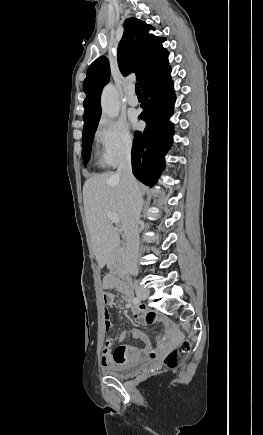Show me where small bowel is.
<instances>
[{
    "label": "small bowel",
    "mask_w": 263,
    "mask_h": 435,
    "mask_svg": "<svg viewBox=\"0 0 263 435\" xmlns=\"http://www.w3.org/2000/svg\"><path fill=\"white\" fill-rule=\"evenodd\" d=\"M117 283L112 275H106L103 279V288L107 290L108 298L104 300L106 305H110L114 300V295L110 292L116 287ZM133 316L135 321L141 326H147L158 321L161 318L152 311H146L139 306L133 307ZM105 328L109 330L112 327V321L110 318L109 311L104 310ZM133 335L144 342L145 346L143 348H138L135 346L120 345L117 349L112 352V350H104L102 352V364L104 367L111 366L113 364H127L137 362L143 358L157 359L161 353L175 345L178 341V336L170 332L163 336L159 341L158 348H153L152 343L148 337H146L140 331H135ZM128 338V333L126 331H121L119 333L118 339L120 342H125Z\"/></svg>",
    "instance_id": "c3829d8e"
}]
</instances>
